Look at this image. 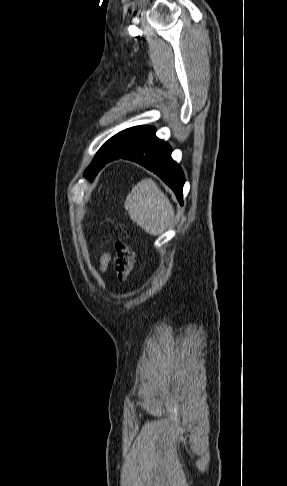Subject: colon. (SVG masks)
<instances>
[{
	"mask_svg": "<svg viewBox=\"0 0 287 486\" xmlns=\"http://www.w3.org/2000/svg\"><path fill=\"white\" fill-rule=\"evenodd\" d=\"M134 265V252L131 246L119 240L115 243L114 271L120 281L126 280L132 273Z\"/></svg>",
	"mask_w": 287,
	"mask_h": 486,
	"instance_id": "5ec220e1",
	"label": "colon"
}]
</instances>
